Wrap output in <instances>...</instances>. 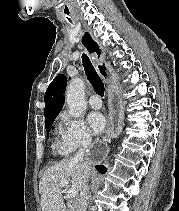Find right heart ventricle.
Instances as JSON below:
<instances>
[{
  "instance_id": "1",
  "label": "right heart ventricle",
  "mask_w": 179,
  "mask_h": 211,
  "mask_svg": "<svg viewBox=\"0 0 179 211\" xmlns=\"http://www.w3.org/2000/svg\"><path fill=\"white\" fill-rule=\"evenodd\" d=\"M53 149L59 155H65L69 152L64 146V144L62 143V141L59 140L58 138H56L53 143Z\"/></svg>"
}]
</instances>
